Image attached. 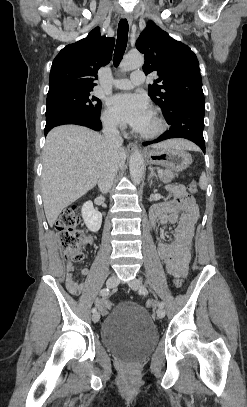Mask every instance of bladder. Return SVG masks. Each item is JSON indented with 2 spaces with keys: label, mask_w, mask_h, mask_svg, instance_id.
I'll use <instances>...</instances> for the list:
<instances>
[{
  "label": "bladder",
  "mask_w": 247,
  "mask_h": 407,
  "mask_svg": "<svg viewBox=\"0 0 247 407\" xmlns=\"http://www.w3.org/2000/svg\"><path fill=\"white\" fill-rule=\"evenodd\" d=\"M101 340L118 357L136 362L158 342V331L147 310L134 302L113 306L101 326Z\"/></svg>",
  "instance_id": "bladder-1"
}]
</instances>
